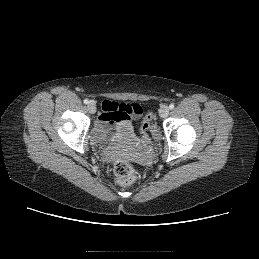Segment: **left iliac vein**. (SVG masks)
<instances>
[{
  "mask_svg": "<svg viewBox=\"0 0 259 259\" xmlns=\"http://www.w3.org/2000/svg\"><path fill=\"white\" fill-rule=\"evenodd\" d=\"M169 107L168 106H162L159 111V115L161 118H166L169 115Z\"/></svg>",
  "mask_w": 259,
  "mask_h": 259,
  "instance_id": "1",
  "label": "left iliac vein"
}]
</instances>
